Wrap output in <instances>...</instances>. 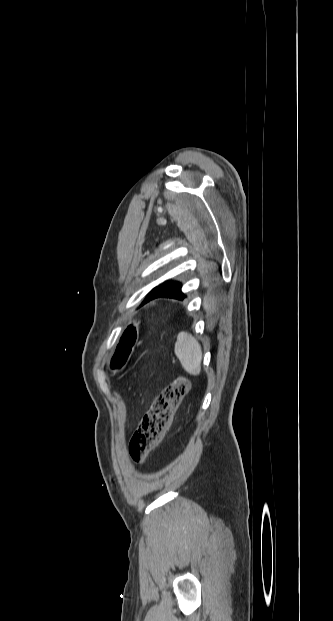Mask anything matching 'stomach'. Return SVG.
Masks as SVG:
<instances>
[{
	"label": "stomach",
	"mask_w": 333,
	"mask_h": 621,
	"mask_svg": "<svg viewBox=\"0 0 333 621\" xmlns=\"http://www.w3.org/2000/svg\"><path fill=\"white\" fill-rule=\"evenodd\" d=\"M136 331L129 326L124 336L115 343V350L111 354L112 367L114 373L119 372L120 367L126 366L130 361V354L134 350Z\"/></svg>",
	"instance_id": "0dacf381"
}]
</instances>
